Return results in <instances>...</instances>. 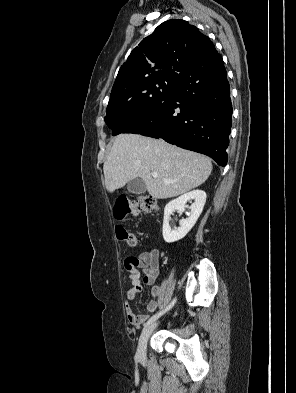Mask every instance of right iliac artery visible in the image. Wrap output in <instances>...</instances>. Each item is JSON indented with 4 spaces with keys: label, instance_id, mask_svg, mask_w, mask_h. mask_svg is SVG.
<instances>
[{
    "label": "right iliac artery",
    "instance_id": "1",
    "mask_svg": "<svg viewBox=\"0 0 296 393\" xmlns=\"http://www.w3.org/2000/svg\"><path fill=\"white\" fill-rule=\"evenodd\" d=\"M176 302V298L173 299V301L163 310H161L160 312L156 313L155 315H153L144 325V327H147L148 325L152 324L154 321H156L161 315H163L166 311H168L169 309H171L173 307V305Z\"/></svg>",
    "mask_w": 296,
    "mask_h": 393
}]
</instances>
